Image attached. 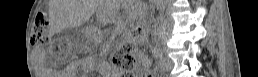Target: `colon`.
I'll return each mask as SVG.
<instances>
[{
    "instance_id": "colon-1",
    "label": "colon",
    "mask_w": 258,
    "mask_h": 77,
    "mask_svg": "<svg viewBox=\"0 0 258 77\" xmlns=\"http://www.w3.org/2000/svg\"><path fill=\"white\" fill-rule=\"evenodd\" d=\"M145 38L144 26L132 29L129 39L124 41L113 54L112 66L116 71H129L134 67L133 52ZM32 40L36 44H46L49 41V23L46 15L37 14L32 30Z\"/></svg>"
}]
</instances>
